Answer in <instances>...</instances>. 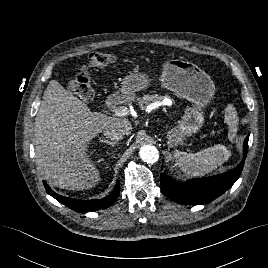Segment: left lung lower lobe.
<instances>
[{"mask_svg":"<svg viewBox=\"0 0 268 268\" xmlns=\"http://www.w3.org/2000/svg\"><path fill=\"white\" fill-rule=\"evenodd\" d=\"M249 136L243 143V159L234 169L208 178L192 179L187 182L174 181L161 173L160 184L165 196L184 205L210 203L227 191L238 179L246 159Z\"/></svg>","mask_w":268,"mask_h":268,"instance_id":"left-lung-lower-lobe-1","label":"left lung lower lobe"}]
</instances>
